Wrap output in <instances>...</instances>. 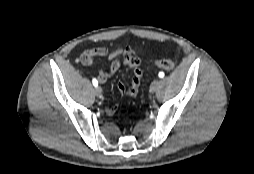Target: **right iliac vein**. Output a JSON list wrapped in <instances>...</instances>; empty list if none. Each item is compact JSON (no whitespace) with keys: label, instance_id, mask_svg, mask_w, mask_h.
Masks as SVG:
<instances>
[{"label":"right iliac vein","instance_id":"right-iliac-vein-1","mask_svg":"<svg viewBox=\"0 0 254 174\" xmlns=\"http://www.w3.org/2000/svg\"><path fill=\"white\" fill-rule=\"evenodd\" d=\"M94 93L98 98L102 97V89L100 87H96Z\"/></svg>","mask_w":254,"mask_h":174}]
</instances>
